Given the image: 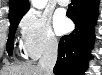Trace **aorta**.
Here are the masks:
<instances>
[{
    "label": "aorta",
    "mask_w": 102,
    "mask_h": 75,
    "mask_svg": "<svg viewBox=\"0 0 102 75\" xmlns=\"http://www.w3.org/2000/svg\"><path fill=\"white\" fill-rule=\"evenodd\" d=\"M31 3L35 8L43 9L47 4V0H32Z\"/></svg>",
    "instance_id": "762f6f07"
}]
</instances>
